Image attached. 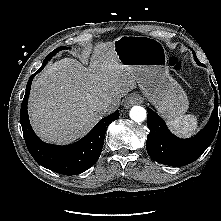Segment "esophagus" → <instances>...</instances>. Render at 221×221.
Segmentation results:
<instances>
[{
	"label": "esophagus",
	"mask_w": 221,
	"mask_h": 221,
	"mask_svg": "<svg viewBox=\"0 0 221 221\" xmlns=\"http://www.w3.org/2000/svg\"><path fill=\"white\" fill-rule=\"evenodd\" d=\"M141 101L142 99L139 95H135V94L130 95L124 101V108L128 109L135 104L141 103Z\"/></svg>",
	"instance_id": "esophagus-1"
}]
</instances>
